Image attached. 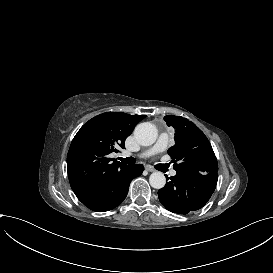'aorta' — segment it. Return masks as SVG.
Returning a JSON list of instances; mask_svg holds the SVG:
<instances>
[{"label":"aorta","mask_w":273,"mask_h":273,"mask_svg":"<svg viewBox=\"0 0 273 273\" xmlns=\"http://www.w3.org/2000/svg\"><path fill=\"white\" fill-rule=\"evenodd\" d=\"M156 127L149 123H140L135 127L134 137L136 141L142 146H150L157 139ZM150 185L155 189H161L166 184V178L162 172H154L149 177Z\"/></svg>","instance_id":"762f6f07"}]
</instances>
